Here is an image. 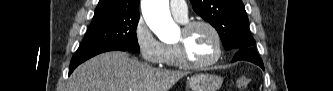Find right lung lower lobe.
Returning a JSON list of instances; mask_svg holds the SVG:
<instances>
[{"instance_id": "98d812e1", "label": "right lung lower lobe", "mask_w": 333, "mask_h": 91, "mask_svg": "<svg viewBox=\"0 0 333 91\" xmlns=\"http://www.w3.org/2000/svg\"><path fill=\"white\" fill-rule=\"evenodd\" d=\"M127 51V49L117 46H101V47H93V48H83L80 47L76 51L75 55L73 56L70 64L69 75L73 72V70L82 62L86 61L87 59L103 53L107 51Z\"/></svg>"}]
</instances>
